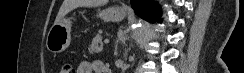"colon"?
I'll use <instances>...</instances> for the list:
<instances>
[{
  "instance_id": "5ec220e1",
  "label": "colon",
  "mask_w": 244,
  "mask_h": 73,
  "mask_svg": "<svg viewBox=\"0 0 244 73\" xmlns=\"http://www.w3.org/2000/svg\"><path fill=\"white\" fill-rule=\"evenodd\" d=\"M73 72H74L73 67L69 63L62 65L61 68L59 69V73H73Z\"/></svg>"
}]
</instances>
